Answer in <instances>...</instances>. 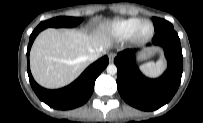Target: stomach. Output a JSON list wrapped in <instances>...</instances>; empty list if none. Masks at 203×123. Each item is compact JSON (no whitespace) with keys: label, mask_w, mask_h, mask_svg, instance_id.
<instances>
[{"label":"stomach","mask_w":203,"mask_h":123,"mask_svg":"<svg viewBox=\"0 0 203 123\" xmlns=\"http://www.w3.org/2000/svg\"><path fill=\"white\" fill-rule=\"evenodd\" d=\"M156 53H157V49H153V48L147 49L141 54L140 58H141V60H147V59L155 56Z\"/></svg>","instance_id":"obj_1"}]
</instances>
